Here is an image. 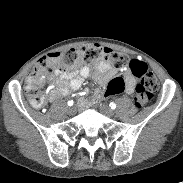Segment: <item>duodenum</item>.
I'll list each match as a JSON object with an SVG mask.
<instances>
[{
  "mask_svg": "<svg viewBox=\"0 0 183 183\" xmlns=\"http://www.w3.org/2000/svg\"><path fill=\"white\" fill-rule=\"evenodd\" d=\"M100 94H101V91L99 89L94 90L93 97H91L90 100H88V101L86 99L80 100V107L82 109H85L87 106L93 107L94 104L98 103V100L100 99Z\"/></svg>",
  "mask_w": 183,
  "mask_h": 183,
  "instance_id": "410a0bca",
  "label": "duodenum"
}]
</instances>
